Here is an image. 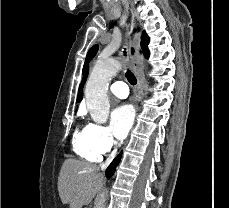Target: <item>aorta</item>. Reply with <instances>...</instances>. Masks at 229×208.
Here are the masks:
<instances>
[{
	"mask_svg": "<svg viewBox=\"0 0 229 208\" xmlns=\"http://www.w3.org/2000/svg\"><path fill=\"white\" fill-rule=\"evenodd\" d=\"M121 69L120 62L114 59L98 61L92 69L85 88L87 109L97 123H105L109 116L110 104L107 96L108 83ZM106 192L97 198L94 208H105Z\"/></svg>",
	"mask_w": 229,
	"mask_h": 208,
	"instance_id": "obj_1",
	"label": "aorta"
}]
</instances>
